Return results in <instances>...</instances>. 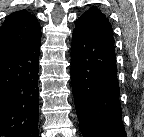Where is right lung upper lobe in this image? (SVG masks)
I'll return each mask as SVG.
<instances>
[{"label":"right lung upper lobe","mask_w":144,"mask_h":137,"mask_svg":"<svg viewBox=\"0 0 144 137\" xmlns=\"http://www.w3.org/2000/svg\"><path fill=\"white\" fill-rule=\"evenodd\" d=\"M40 34L34 15L27 11L11 13L0 28V56L26 45Z\"/></svg>","instance_id":"1"}]
</instances>
